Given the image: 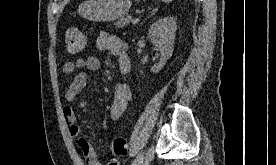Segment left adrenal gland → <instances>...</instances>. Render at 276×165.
<instances>
[{
	"label": "left adrenal gland",
	"mask_w": 276,
	"mask_h": 165,
	"mask_svg": "<svg viewBox=\"0 0 276 165\" xmlns=\"http://www.w3.org/2000/svg\"><path fill=\"white\" fill-rule=\"evenodd\" d=\"M155 11H156V9H153V11H152V15L155 13Z\"/></svg>",
	"instance_id": "a2214340"
}]
</instances>
